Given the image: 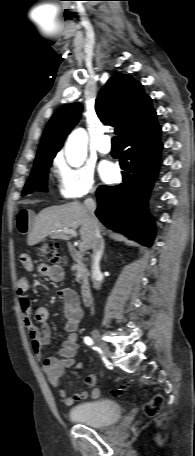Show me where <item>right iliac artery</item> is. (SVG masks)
Masks as SVG:
<instances>
[{"mask_svg":"<svg viewBox=\"0 0 195 456\" xmlns=\"http://www.w3.org/2000/svg\"><path fill=\"white\" fill-rule=\"evenodd\" d=\"M84 342L88 346H93L94 345L93 340L90 337H88V336L84 337ZM93 348L97 350V347H93Z\"/></svg>","mask_w":195,"mask_h":456,"instance_id":"1","label":"right iliac artery"}]
</instances>
